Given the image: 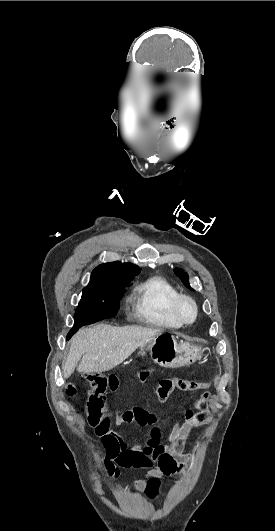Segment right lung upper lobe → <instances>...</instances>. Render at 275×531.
Returning <instances> with one entry per match:
<instances>
[{"label":"right lung upper lobe","mask_w":275,"mask_h":531,"mask_svg":"<svg viewBox=\"0 0 275 531\" xmlns=\"http://www.w3.org/2000/svg\"><path fill=\"white\" fill-rule=\"evenodd\" d=\"M138 271L139 267L131 263H104L93 270L90 283L127 282L131 281Z\"/></svg>","instance_id":"obj_1"}]
</instances>
